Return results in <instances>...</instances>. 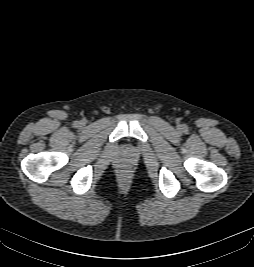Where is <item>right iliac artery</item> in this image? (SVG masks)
Here are the masks:
<instances>
[{"instance_id":"1","label":"right iliac artery","mask_w":254,"mask_h":267,"mask_svg":"<svg viewBox=\"0 0 254 267\" xmlns=\"http://www.w3.org/2000/svg\"><path fill=\"white\" fill-rule=\"evenodd\" d=\"M74 125L77 127L79 125V122H74Z\"/></svg>"}]
</instances>
